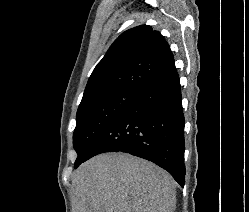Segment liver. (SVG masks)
<instances>
[{"label": "liver", "instance_id": "1", "mask_svg": "<svg viewBox=\"0 0 249 212\" xmlns=\"http://www.w3.org/2000/svg\"><path fill=\"white\" fill-rule=\"evenodd\" d=\"M73 212H174L175 182L165 170L130 154H100L73 180Z\"/></svg>", "mask_w": 249, "mask_h": 212}]
</instances>
